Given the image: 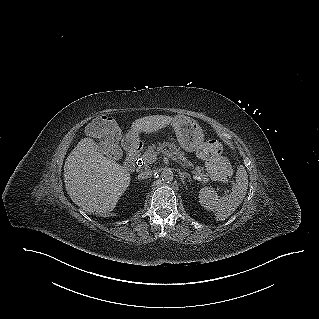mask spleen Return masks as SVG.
<instances>
[{"label":"spleen","mask_w":319,"mask_h":319,"mask_svg":"<svg viewBox=\"0 0 319 319\" xmlns=\"http://www.w3.org/2000/svg\"><path fill=\"white\" fill-rule=\"evenodd\" d=\"M248 189V175L241 165L236 173V183L232 186L229 195L218 197L211 187L201 188L199 191V203L209 211H214L217 221H224L239 207L245 198Z\"/></svg>","instance_id":"obj_1"}]
</instances>
